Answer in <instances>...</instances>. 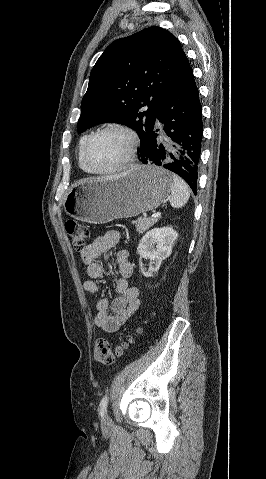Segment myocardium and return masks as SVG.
Segmentation results:
<instances>
[{
    "mask_svg": "<svg viewBox=\"0 0 266 479\" xmlns=\"http://www.w3.org/2000/svg\"><path fill=\"white\" fill-rule=\"evenodd\" d=\"M109 131L120 132V133L126 135L129 139V147H128L126 156L124 157V159L118 165H116L115 167H113L111 169H107V170H97V169L93 168L88 161V151H89V148H90L92 142L94 141V139L96 137H98L99 135H101L105 132H109ZM138 143H139L138 136L132 129H130L126 126H123V125H116V124L106 125L104 127H101L99 129H97L96 131L92 132L89 135V137L87 138L86 143L83 147L82 159H83V162H84L86 168L88 169V171L90 173L95 174V175H110V174H113V173H116L118 171H121V170L125 169L130 164V162L132 161V159L134 157V154H135L136 148L138 146Z\"/></svg>",
    "mask_w": 266,
    "mask_h": 479,
    "instance_id": "1",
    "label": "myocardium"
}]
</instances>
